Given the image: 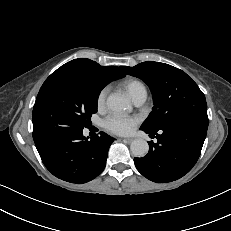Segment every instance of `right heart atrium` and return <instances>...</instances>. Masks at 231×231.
Instances as JSON below:
<instances>
[{
  "instance_id": "obj_1",
  "label": "right heart atrium",
  "mask_w": 231,
  "mask_h": 231,
  "mask_svg": "<svg viewBox=\"0 0 231 231\" xmlns=\"http://www.w3.org/2000/svg\"><path fill=\"white\" fill-rule=\"evenodd\" d=\"M106 95H107V88H103L102 90H100L96 99V103L98 107H102L104 105Z\"/></svg>"
}]
</instances>
